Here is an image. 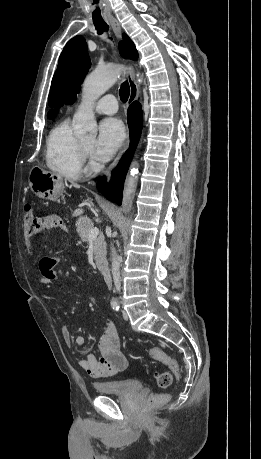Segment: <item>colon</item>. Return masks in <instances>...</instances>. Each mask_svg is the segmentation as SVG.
<instances>
[{
  "label": "colon",
  "instance_id": "colon-1",
  "mask_svg": "<svg viewBox=\"0 0 261 459\" xmlns=\"http://www.w3.org/2000/svg\"><path fill=\"white\" fill-rule=\"evenodd\" d=\"M25 209L26 216L23 217V223L21 224L19 230L20 234L22 236H25V239L27 240L25 242L27 249L29 251H32L31 258L36 259L37 255L36 252L33 251L35 249V246L32 240L34 239L35 231H39L42 228L44 221L42 218L34 217L31 214L29 205H27ZM149 354L151 358H153L154 360L162 361L169 366L170 371H164L156 375V381L158 386L162 388L169 387L173 382L174 376H178L180 373V368L177 361L173 359L171 356H169L164 350L158 347L151 348ZM167 398L168 396L164 394L151 395L148 398V405L151 407L159 405L165 402Z\"/></svg>",
  "mask_w": 261,
  "mask_h": 459
}]
</instances>
